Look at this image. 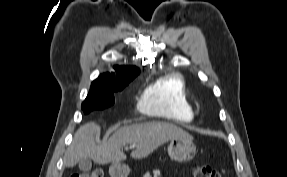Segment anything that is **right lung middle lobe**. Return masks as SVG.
<instances>
[{
    "label": "right lung middle lobe",
    "instance_id": "1",
    "mask_svg": "<svg viewBox=\"0 0 287 177\" xmlns=\"http://www.w3.org/2000/svg\"><path fill=\"white\" fill-rule=\"evenodd\" d=\"M129 83L116 86H101L92 83L87 98L82 103L85 114L92 110H102L114 104V92L123 90Z\"/></svg>",
    "mask_w": 287,
    "mask_h": 177
}]
</instances>
